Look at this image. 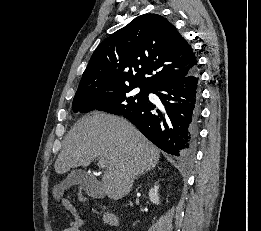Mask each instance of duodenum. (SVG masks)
<instances>
[{"label":"duodenum","instance_id":"1","mask_svg":"<svg viewBox=\"0 0 261 231\" xmlns=\"http://www.w3.org/2000/svg\"><path fill=\"white\" fill-rule=\"evenodd\" d=\"M104 215L106 217L107 222L110 225H113V226L117 225V218H116V216L114 214H112V213H110L108 211H105Z\"/></svg>","mask_w":261,"mask_h":231}]
</instances>
